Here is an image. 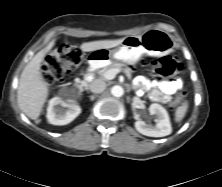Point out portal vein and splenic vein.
I'll use <instances>...</instances> for the list:
<instances>
[{"label": "portal vein and splenic vein", "instance_id": "portal-vein-and-splenic-vein-1", "mask_svg": "<svg viewBox=\"0 0 222 187\" xmlns=\"http://www.w3.org/2000/svg\"><path fill=\"white\" fill-rule=\"evenodd\" d=\"M120 72L118 69H110L105 72L104 78L107 80H112L115 78V76Z\"/></svg>", "mask_w": 222, "mask_h": 187}]
</instances>
